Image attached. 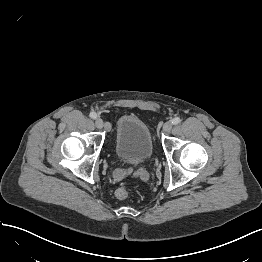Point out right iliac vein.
Masks as SVG:
<instances>
[{"label": "right iliac vein", "mask_w": 262, "mask_h": 262, "mask_svg": "<svg viewBox=\"0 0 262 262\" xmlns=\"http://www.w3.org/2000/svg\"><path fill=\"white\" fill-rule=\"evenodd\" d=\"M95 125L97 128L101 129L103 127V120L101 118H96Z\"/></svg>", "instance_id": "1"}]
</instances>
